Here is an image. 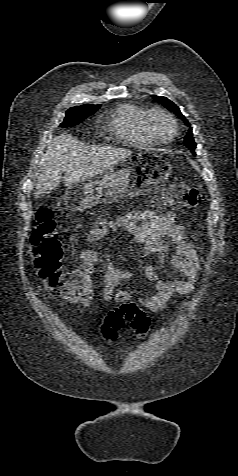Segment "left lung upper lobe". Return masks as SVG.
Returning a JSON list of instances; mask_svg holds the SVG:
<instances>
[{
  "label": "left lung upper lobe",
  "mask_w": 238,
  "mask_h": 476,
  "mask_svg": "<svg viewBox=\"0 0 238 476\" xmlns=\"http://www.w3.org/2000/svg\"><path fill=\"white\" fill-rule=\"evenodd\" d=\"M153 98L156 99L157 101H159L160 103H162L170 111L174 112L181 119L185 120L186 123H188V121L185 119V117L180 112V109L172 101H170L166 97H158L156 95H154ZM184 145L187 148H189L192 151L193 154H195L196 144L194 142L193 133H192L191 129L188 131L187 135L184 138Z\"/></svg>",
  "instance_id": "obj_1"
}]
</instances>
